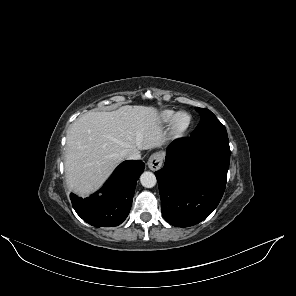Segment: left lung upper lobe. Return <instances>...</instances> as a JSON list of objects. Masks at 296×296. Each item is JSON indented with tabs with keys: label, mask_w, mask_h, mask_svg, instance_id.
<instances>
[{
	"label": "left lung upper lobe",
	"mask_w": 296,
	"mask_h": 296,
	"mask_svg": "<svg viewBox=\"0 0 296 296\" xmlns=\"http://www.w3.org/2000/svg\"><path fill=\"white\" fill-rule=\"evenodd\" d=\"M196 110L201 116V120L191 137L204 136L209 134L227 133L225 126L208 109L197 107Z\"/></svg>",
	"instance_id": "obj_1"
}]
</instances>
